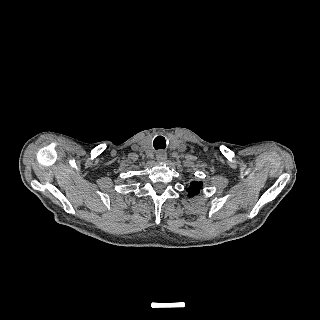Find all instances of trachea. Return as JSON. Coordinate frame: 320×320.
I'll return each mask as SVG.
<instances>
[{"label": "trachea", "instance_id": "1", "mask_svg": "<svg viewBox=\"0 0 320 320\" xmlns=\"http://www.w3.org/2000/svg\"><path fill=\"white\" fill-rule=\"evenodd\" d=\"M153 146L156 150L166 148V140L163 136H157L153 141Z\"/></svg>", "mask_w": 320, "mask_h": 320}]
</instances>
